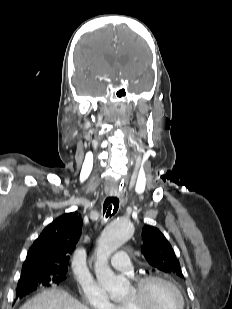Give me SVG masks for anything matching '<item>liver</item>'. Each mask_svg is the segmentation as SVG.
<instances>
[{
    "label": "liver",
    "mask_w": 232,
    "mask_h": 309,
    "mask_svg": "<svg viewBox=\"0 0 232 309\" xmlns=\"http://www.w3.org/2000/svg\"><path fill=\"white\" fill-rule=\"evenodd\" d=\"M19 309H89L64 290H44Z\"/></svg>",
    "instance_id": "liver-1"
}]
</instances>
